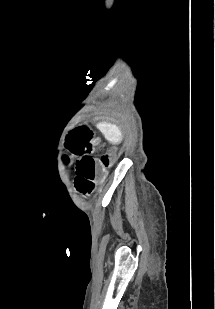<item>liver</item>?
<instances>
[{
  "instance_id": "6515ba94",
  "label": "liver",
  "mask_w": 215,
  "mask_h": 309,
  "mask_svg": "<svg viewBox=\"0 0 215 309\" xmlns=\"http://www.w3.org/2000/svg\"><path fill=\"white\" fill-rule=\"evenodd\" d=\"M98 126L101 132L105 134L107 140H111V142H120L122 140V132L117 124H104V122H100Z\"/></svg>"
}]
</instances>
